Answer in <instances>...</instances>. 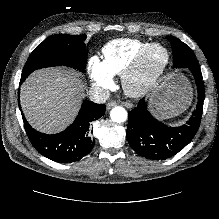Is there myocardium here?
Returning <instances> with one entry per match:
<instances>
[{
    "mask_svg": "<svg viewBox=\"0 0 219 219\" xmlns=\"http://www.w3.org/2000/svg\"><path fill=\"white\" fill-rule=\"evenodd\" d=\"M155 51L162 53L161 61L153 68L147 69V61ZM170 63L168 49L160 43H153L142 52L122 73V84L126 93L132 97L147 94L165 73Z\"/></svg>",
    "mask_w": 219,
    "mask_h": 219,
    "instance_id": "1",
    "label": "myocardium"
}]
</instances>
